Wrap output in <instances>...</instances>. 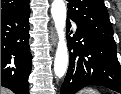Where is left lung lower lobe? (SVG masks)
Returning <instances> with one entry per match:
<instances>
[{
	"label": "left lung lower lobe",
	"mask_w": 121,
	"mask_h": 94,
	"mask_svg": "<svg viewBox=\"0 0 121 94\" xmlns=\"http://www.w3.org/2000/svg\"><path fill=\"white\" fill-rule=\"evenodd\" d=\"M68 49L69 67L61 94H75L89 85L104 86L121 93V67L113 35L78 26L68 42Z\"/></svg>",
	"instance_id": "obj_1"
}]
</instances>
